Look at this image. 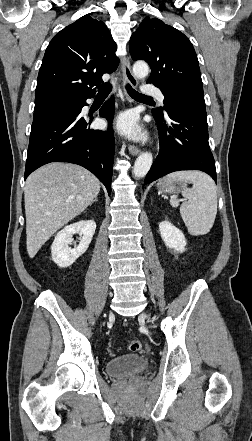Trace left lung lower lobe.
<instances>
[{
  "instance_id": "1",
  "label": "left lung lower lobe",
  "mask_w": 252,
  "mask_h": 441,
  "mask_svg": "<svg viewBox=\"0 0 252 441\" xmlns=\"http://www.w3.org/2000/svg\"><path fill=\"white\" fill-rule=\"evenodd\" d=\"M158 122L160 151L144 184L174 171L201 170L216 181L215 161L208 143L206 109L180 100L167 109Z\"/></svg>"
}]
</instances>
